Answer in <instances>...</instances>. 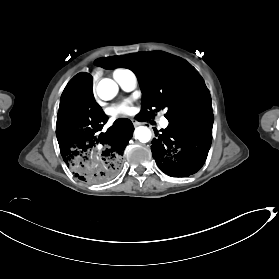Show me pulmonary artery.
Here are the masks:
<instances>
[{"mask_svg":"<svg viewBox=\"0 0 279 279\" xmlns=\"http://www.w3.org/2000/svg\"><path fill=\"white\" fill-rule=\"evenodd\" d=\"M113 77L125 92L134 90L137 85V79L133 73L123 74L121 71L116 70L113 72Z\"/></svg>","mask_w":279,"mask_h":279,"instance_id":"e3ab8cb5","label":"pulmonary artery"}]
</instances>
